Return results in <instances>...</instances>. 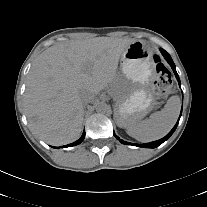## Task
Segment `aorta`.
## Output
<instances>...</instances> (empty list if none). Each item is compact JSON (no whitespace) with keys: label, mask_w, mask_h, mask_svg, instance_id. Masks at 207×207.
<instances>
[{"label":"aorta","mask_w":207,"mask_h":207,"mask_svg":"<svg viewBox=\"0 0 207 207\" xmlns=\"http://www.w3.org/2000/svg\"><path fill=\"white\" fill-rule=\"evenodd\" d=\"M110 106L105 103V102H99L97 105H96V111L98 113H101V114H107L110 112Z\"/></svg>","instance_id":"obj_1"}]
</instances>
